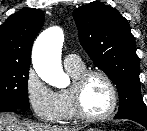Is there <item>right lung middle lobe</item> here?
Listing matches in <instances>:
<instances>
[{"mask_svg":"<svg viewBox=\"0 0 147 131\" xmlns=\"http://www.w3.org/2000/svg\"><path fill=\"white\" fill-rule=\"evenodd\" d=\"M29 66L0 63V105L29 109Z\"/></svg>","mask_w":147,"mask_h":131,"instance_id":"1","label":"right lung middle lobe"}]
</instances>
